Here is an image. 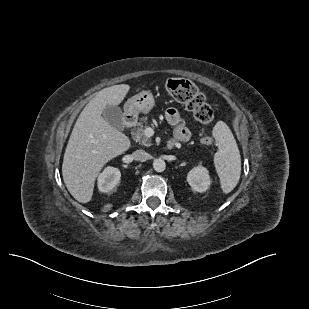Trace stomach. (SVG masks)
Masks as SVG:
<instances>
[{
    "instance_id": "0dacf381",
    "label": "stomach",
    "mask_w": 309,
    "mask_h": 309,
    "mask_svg": "<svg viewBox=\"0 0 309 309\" xmlns=\"http://www.w3.org/2000/svg\"><path fill=\"white\" fill-rule=\"evenodd\" d=\"M155 101L150 91H141L131 97L125 103V112L129 115L138 116L139 113L148 114L154 107Z\"/></svg>"
}]
</instances>
